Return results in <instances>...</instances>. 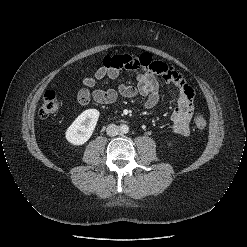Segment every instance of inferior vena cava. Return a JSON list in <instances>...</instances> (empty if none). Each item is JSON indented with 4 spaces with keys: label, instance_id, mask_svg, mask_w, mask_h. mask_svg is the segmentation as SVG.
Instances as JSON below:
<instances>
[{
    "label": "inferior vena cava",
    "instance_id": "1",
    "mask_svg": "<svg viewBox=\"0 0 247 247\" xmlns=\"http://www.w3.org/2000/svg\"><path fill=\"white\" fill-rule=\"evenodd\" d=\"M119 127L117 126V125H115V124H110V125H108V127H107V129H106V133H107V135H109V136H116V135H118V133H119Z\"/></svg>",
    "mask_w": 247,
    "mask_h": 247
}]
</instances>
